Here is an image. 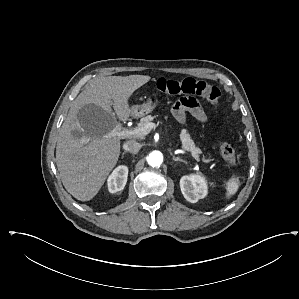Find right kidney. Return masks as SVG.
I'll return each instance as SVG.
<instances>
[{
    "label": "right kidney",
    "instance_id": "obj_1",
    "mask_svg": "<svg viewBox=\"0 0 299 299\" xmlns=\"http://www.w3.org/2000/svg\"><path fill=\"white\" fill-rule=\"evenodd\" d=\"M128 177V167L118 166L107 180L108 190L110 193H116L124 189Z\"/></svg>",
    "mask_w": 299,
    "mask_h": 299
}]
</instances>
